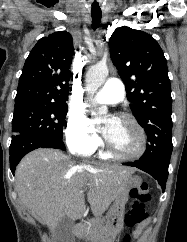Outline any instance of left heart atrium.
<instances>
[{
  "instance_id": "1",
  "label": "left heart atrium",
  "mask_w": 187,
  "mask_h": 242,
  "mask_svg": "<svg viewBox=\"0 0 187 242\" xmlns=\"http://www.w3.org/2000/svg\"><path fill=\"white\" fill-rule=\"evenodd\" d=\"M103 134H104V136L107 138V137H108V130H107V129H104V130H103Z\"/></svg>"
}]
</instances>
